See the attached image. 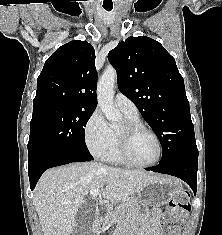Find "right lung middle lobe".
Masks as SVG:
<instances>
[{
    "instance_id": "obj_1",
    "label": "right lung middle lobe",
    "mask_w": 222,
    "mask_h": 235,
    "mask_svg": "<svg viewBox=\"0 0 222 235\" xmlns=\"http://www.w3.org/2000/svg\"><path fill=\"white\" fill-rule=\"evenodd\" d=\"M94 110L54 105L33 113L28 142L29 167L59 154L91 156L84 127Z\"/></svg>"
}]
</instances>
